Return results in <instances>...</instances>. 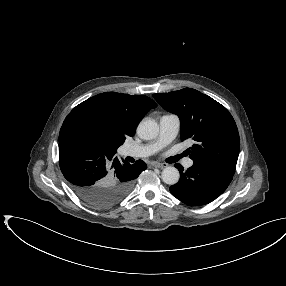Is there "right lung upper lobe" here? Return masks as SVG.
I'll list each match as a JSON object with an SVG mask.
<instances>
[{"label": "right lung upper lobe", "instance_id": "1", "mask_svg": "<svg viewBox=\"0 0 286 286\" xmlns=\"http://www.w3.org/2000/svg\"><path fill=\"white\" fill-rule=\"evenodd\" d=\"M157 104L147 96L106 92L76 106L64 122L85 119L104 132L102 148L115 156L127 136H133L138 122Z\"/></svg>", "mask_w": 286, "mask_h": 286}]
</instances>
